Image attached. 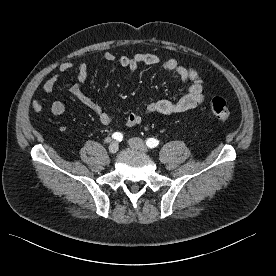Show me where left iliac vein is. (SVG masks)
<instances>
[{"mask_svg": "<svg viewBox=\"0 0 276 276\" xmlns=\"http://www.w3.org/2000/svg\"><path fill=\"white\" fill-rule=\"evenodd\" d=\"M128 144L131 148L136 149L140 152H143V153L148 152V148H147L146 144L140 138H131L128 141Z\"/></svg>", "mask_w": 276, "mask_h": 276, "instance_id": "left-iliac-vein-1", "label": "left iliac vein"}]
</instances>
